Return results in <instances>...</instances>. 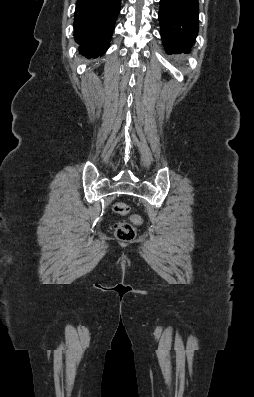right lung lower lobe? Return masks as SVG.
<instances>
[{
	"mask_svg": "<svg viewBox=\"0 0 254 397\" xmlns=\"http://www.w3.org/2000/svg\"><path fill=\"white\" fill-rule=\"evenodd\" d=\"M121 0H77L74 18V38L79 51L86 57L106 52Z\"/></svg>",
	"mask_w": 254,
	"mask_h": 397,
	"instance_id": "98d812e1",
	"label": "right lung lower lobe"
}]
</instances>
